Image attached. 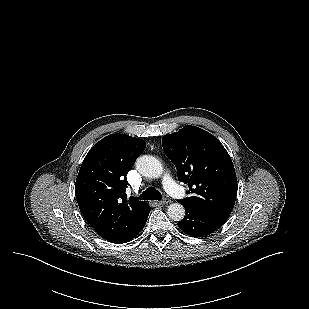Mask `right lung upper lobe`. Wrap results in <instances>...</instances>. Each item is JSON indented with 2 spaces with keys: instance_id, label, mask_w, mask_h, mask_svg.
<instances>
[{
  "instance_id": "1",
  "label": "right lung upper lobe",
  "mask_w": 309,
  "mask_h": 309,
  "mask_svg": "<svg viewBox=\"0 0 309 309\" xmlns=\"http://www.w3.org/2000/svg\"><path fill=\"white\" fill-rule=\"evenodd\" d=\"M146 143L140 138L111 134L96 143L82 162L75 185L79 209L90 226L105 240L132 231L149 205L126 198V175Z\"/></svg>"
}]
</instances>
